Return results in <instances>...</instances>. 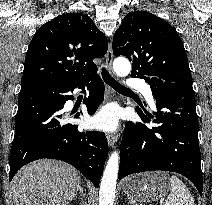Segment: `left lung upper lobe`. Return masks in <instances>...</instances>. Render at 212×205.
Returning a JSON list of instances; mask_svg holds the SVG:
<instances>
[{"label": "left lung upper lobe", "mask_w": 212, "mask_h": 205, "mask_svg": "<svg viewBox=\"0 0 212 205\" xmlns=\"http://www.w3.org/2000/svg\"><path fill=\"white\" fill-rule=\"evenodd\" d=\"M113 53L132 61V77L155 76L192 85L186 51L177 31L154 14H127L115 32Z\"/></svg>", "instance_id": "1"}]
</instances>
